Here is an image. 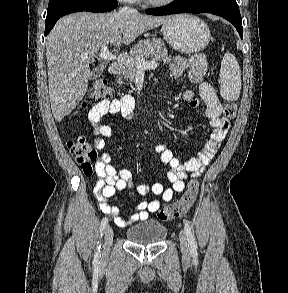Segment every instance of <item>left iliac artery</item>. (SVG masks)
<instances>
[{
	"label": "left iliac artery",
	"mask_w": 288,
	"mask_h": 293,
	"mask_svg": "<svg viewBox=\"0 0 288 293\" xmlns=\"http://www.w3.org/2000/svg\"><path fill=\"white\" fill-rule=\"evenodd\" d=\"M184 229L187 236L188 247L190 249L191 256L193 257L194 260H197V246H196V242H195L191 227L187 220H184Z\"/></svg>",
	"instance_id": "obj_1"
}]
</instances>
